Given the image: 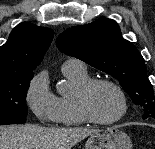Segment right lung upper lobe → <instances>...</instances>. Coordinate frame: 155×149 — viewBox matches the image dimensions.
<instances>
[{"label": "right lung upper lobe", "mask_w": 155, "mask_h": 149, "mask_svg": "<svg viewBox=\"0 0 155 149\" xmlns=\"http://www.w3.org/2000/svg\"><path fill=\"white\" fill-rule=\"evenodd\" d=\"M54 32L22 22L11 32L0 47V77L33 73L46 53Z\"/></svg>", "instance_id": "obj_1"}]
</instances>
